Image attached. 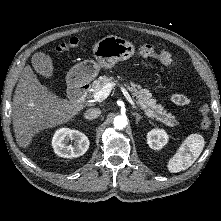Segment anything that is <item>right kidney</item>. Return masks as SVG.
<instances>
[{
    "label": "right kidney",
    "instance_id": "right-kidney-1",
    "mask_svg": "<svg viewBox=\"0 0 221 221\" xmlns=\"http://www.w3.org/2000/svg\"><path fill=\"white\" fill-rule=\"evenodd\" d=\"M74 141L73 145L70 143ZM54 152L64 158L79 157L89 148L88 137L78 130L61 128L52 138Z\"/></svg>",
    "mask_w": 221,
    "mask_h": 221
}]
</instances>
